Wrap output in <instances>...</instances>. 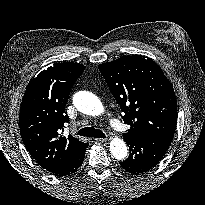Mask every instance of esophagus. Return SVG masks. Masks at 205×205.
<instances>
[{"instance_id": "esophagus-1", "label": "esophagus", "mask_w": 205, "mask_h": 205, "mask_svg": "<svg viewBox=\"0 0 205 205\" xmlns=\"http://www.w3.org/2000/svg\"><path fill=\"white\" fill-rule=\"evenodd\" d=\"M97 142H99V143H104V142H107V138H96L95 139Z\"/></svg>"}]
</instances>
